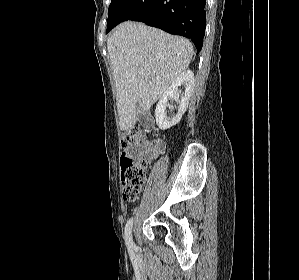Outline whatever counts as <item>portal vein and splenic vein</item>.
Here are the masks:
<instances>
[{"label":"portal vein and splenic vein","mask_w":299,"mask_h":280,"mask_svg":"<svg viewBox=\"0 0 299 280\" xmlns=\"http://www.w3.org/2000/svg\"><path fill=\"white\" fill-rule=\"evenodd\" d=\"M139 74H144V70L143 69H139Z\"/></svg>","instance_id":"1"}]
</instances>
